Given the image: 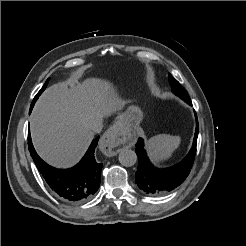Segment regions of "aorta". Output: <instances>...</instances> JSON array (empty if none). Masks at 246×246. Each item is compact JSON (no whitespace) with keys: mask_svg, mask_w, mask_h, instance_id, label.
I'll return each mask as SVG.
<instances>
[{"mask_svg":"<svg viewBox=\"0 0 246 246\" xmlns=\"http://www.w3.org/2000/svg\"><path fill=\"white\" fill-rule=\"evenodd\" d=\"M119 161L123 166L130 167L137 162V155L131 149H122L119 154Z\"/></svg>","mask_w":246,"mask_h":246,"instance_id":"aorta-1","label":"aorta"}]
</instances>
